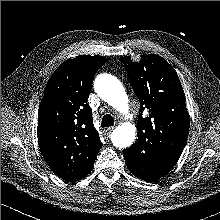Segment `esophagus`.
Listing matches in <instances>:
<instances>
[{
  "label": "esophagus",
  "mask_w": 220,
  "mask_h": 220,
  "mask_svg": "<svg viewBox=\"0 0 220 220\" xmlns=\"http://www.w3.org/2000/svg\"><path fill=\"white\" fill-rule=\"evenodd\" d=\"M113 129H114V127H109L107 129H105L104 132H105V134L109 135Z\"/></svg>",
  "instance_id": "esophagus-1"
}]
</instances>
